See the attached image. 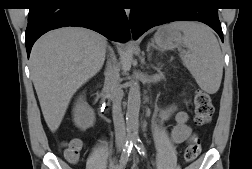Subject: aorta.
Returning a JSON list of instances; mask_svg holds the SVG:
<instances>
[{"label": "aorta", "instance_id": "1", "mask_svg": "<svg viewBox=\"0 0 252 169\" xmlns=\"http://www.w3.org/2000/svg\"><path fill=\"white\" fill-rule=\"evenodd\" d=\"M141 105L140 85L137 79L130 81L126 110V131L129 142L136 141L139 136V112Z\"/></svg>", "mask_w": 252, "mask_h": 169}]
</instances>
